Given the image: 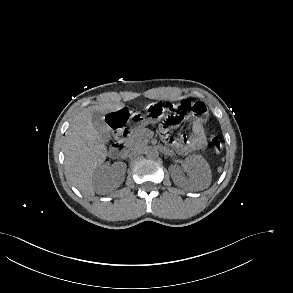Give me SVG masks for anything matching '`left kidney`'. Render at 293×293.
<instances>
[{
  "label": "left kidney",
  "instance_id": "1",
  "mask_svg": "<svg viewBox=\"0 0 293 293\" xmlns=\"http://www.w3.org/2000/svg\"><path fill=\"white\" fill-rule=\"evenodd\" d=\"M185 169L192 172V178L189 180L183 176L181 167L171 168V176L177 186H188L194 190H203L209 187L212 174L208 163L204 159H187Z\"/></svg>",
  "mask_w": 293,
  "mask_h": 293
}]
</instances>
